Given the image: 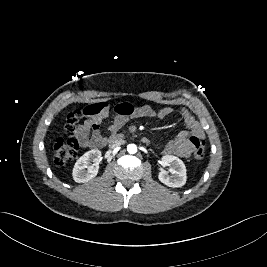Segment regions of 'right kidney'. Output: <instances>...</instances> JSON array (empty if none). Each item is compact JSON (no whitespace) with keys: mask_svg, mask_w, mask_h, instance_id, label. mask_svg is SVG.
I'll use <instances>...</instances> for the list:
<instances>
[{"mask_svg":"<svg viewBox=\"0 0 267 267\" xmlns=\"http://www.w3.org/2000/svg\"><path fill=\"white\" fill-rule=\"evenodd\" d=\"M100 161L101 151L93 149L84 153L74 165L72 172L74 181L84 183L93 179L98 174Z\"/></svg>","mask_w":267,"mask_h":267,"instance_id":"ca27d5eb","label":"right kidney"}]
</instances>
